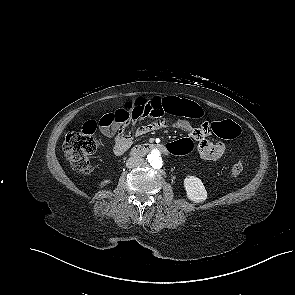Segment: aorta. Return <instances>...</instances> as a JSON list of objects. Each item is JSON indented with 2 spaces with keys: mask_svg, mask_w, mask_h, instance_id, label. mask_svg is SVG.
Wrapping results in <instances>:
<instances>
[{
  "mask_svg": "<svg viewBox=\"0 0 295 295\" xmlns=\"http://www.w3.org/2000/svg\"><path fill=\"white\" fill-rule=\"evenodd\" d=\"M147 160L149 164L155 169H160L163 166V160L160 156V153L156 150L152 151L147 156Z\"/></svg>",
  "mask_w": 295,
  "mask_h": 295,
  "instance_id": "aorta-1",
  "label": "aorta"
}]
</instances>
